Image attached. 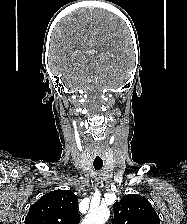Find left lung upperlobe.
I'll use <instances>...</instances> for the list:
<instances>
[{"instance_id": "1", "label": "left lung upper lobe", "mask_w": 187, "mask_h": 224, "mask_svg": "<svg viewBox=\"0 0 187 224\" xmlns=\"http://www.w3.org/2000/svg\"><path fill=\"white\" fill-rule=\"evenodd\" d=\"M112 224H160V220L147 199L129 194L114 204Z\"/></svg>"}]
</instances>
